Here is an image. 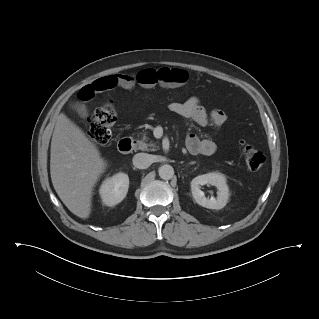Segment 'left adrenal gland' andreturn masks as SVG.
<instances>
[{
    "label": "left adrenal gland",
    "mask_w": 319,
    "mask_h": 319,
    "mask_svg": "<svg viewBox=\"0 0 319 319\" xmlns=\"http://www.w3.org/2000/svg\"><path fill=\"white\" fill-rule=\"evenodd\" d=\"M195 162H190L189 164H194Z\"/></svg>",
    "instance_id": "obj_1"
}]
</instances>
